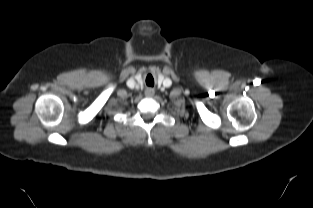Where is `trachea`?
Wrapping results in <instances>:
<instances>
[{
    "label": "trachea",
    "instance_id": "3493384b",
    "mask_svg": "<svg viewBox=\"0 0 313 208\" xmlns=\"http://www.w3.org/2000/svg\"><path fill=\"white\" fill-rule=\"evenodd\" d=\"M146 84H147L148 86H153L154 83H152V81L150 82V81L148 80V78H147V79H146Z\"/></svg>",
    "mask_w": 313,
    "mask_h": 208
}]
</instances>
